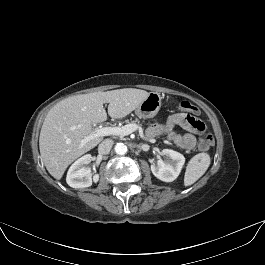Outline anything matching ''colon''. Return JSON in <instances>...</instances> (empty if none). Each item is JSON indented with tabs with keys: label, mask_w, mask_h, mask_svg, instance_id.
Wrapping results in <instances>:
<instances>
[{
	"label": "colon",
	"mask_w": 265,
	"mask_h": 265,
	"mask_svg": "<svg viewBox=\"0 0 265 265\" xmlns=\"http://www.w3.org/2000/svg\"><path fill=\"white\" fill-rule=\"evenodd\" d=\"M179 107L189 115H195L198 113V109L188 101H182L179 103ZM214 144V138L209 133H204L200 136L198 147L200 150H208Z\"/></svg>",
	"instance_id": "5ec220e1"
}]
</instances>
